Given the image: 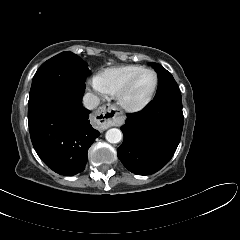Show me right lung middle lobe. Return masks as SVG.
I'll use <instances>...</instances> for the list:
<instances>
[{"mask_svg": "<svg viewBox=\"0 0 240 240\" xmlns=\"http://www.w3.org/2000/svg\"><path fill=\"white\" fill-rule=\"evenodd\" d=\"M88 65L70 51L62 52L43 63L34 75L29 102L55 87L85 89Z\"/></svg>", "mask_w": 240, "mask_h": 240, "instance_id": "right-lung-middle-lobe-1", "label": "right lung middle lobe"}]
</instances>
